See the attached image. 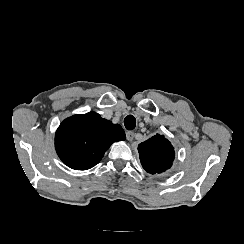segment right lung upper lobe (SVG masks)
I'll use <instances>...</instances> for the list:
<instances>
[{"instance_id": "1", "label": "right lung upper lobe", "mask_w": 244, "mask_h": 244, "mask_svg": "<svg viewBox=\"0 0 244 244\" xmlns=\"http://www.w3.org/2000/svg\"><path fill=\"white\" fill-rule=\"evenodd\" d=\"M121 140H125V132L119 124L89 112L69 117L60 124L55 148L68 167L87 170L99 163L112 143Z\"/></svg>"}]
</instances>
